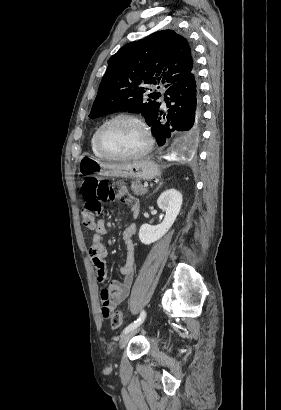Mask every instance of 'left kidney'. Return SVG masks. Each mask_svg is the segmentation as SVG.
Listing matches in <instances>:
<instances>
[{
	"label": "left kidney",
	"instance_id": "obj_1",
	"mask_svg": "<svg viewBox=\"0 0 281 410\" xmlns=\"http://www.w3.org/2000/svg\"><path fill=\"white\" fill-rule=\"evenodd\" d=\"M182 202V194L176 189L164 191L157 200L158 207L166 213L164 220L156 226L143 224L139 230L140 241L145 245H149L164 236L175 222Z\"/></svg>",
	"mask_w": 281,
	"mask_h": 410
}]
</instances>
